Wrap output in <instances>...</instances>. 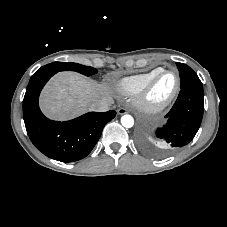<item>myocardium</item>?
Here are the masks:
<instances>
[{
    "mask_svg": "<svg viewBox=\"0 0 227 227\" xmlns=\"http://www.w3.org/2000/svg\"><path fill=\"white\" fill-rule=\"evenodd\" d=\"M166 73H172L175 76V85L171 93L161 101H153L150 98L151 92L155 87L158 80ZM180 90V76L176 70L162 68L158 71L145 85L144 87L138 92L136 103L137 105L146 112H160L167 108L173 100L176 98L178 92Z\"/></svg>",
    "mask_w": 227,
    "mask_h": 227,
    "instance_id": "obj_1",
    "label": "myocardium"
}]
</instances>
